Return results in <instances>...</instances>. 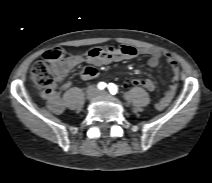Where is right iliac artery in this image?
<instances>
[{"label":"right iliac artery","mask_w":212,"mask_h":183,"mask_svg":"<svg viewBox=\"0 0 212 183\" xmlns=\"http://www.w3.org/2000/svg\"><path fill=\"white\" fill-rule=\"evenodd\" d=\"M105 87H106V83H104V82H100V83L98 84V88H99L100 90H103Z\"/></svg>","instance_id":"82829eb1"}]
</instances>
